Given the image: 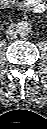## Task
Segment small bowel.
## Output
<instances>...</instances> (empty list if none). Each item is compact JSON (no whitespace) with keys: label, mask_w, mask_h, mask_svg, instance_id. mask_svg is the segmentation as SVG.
Here are the masks:
<instances>
[{"label":"small bowel","mask_w":47,"mask_h":129,"mask_svg":"<svg viewBox=\"0 0 47 129\" xmlns=\"http://www.w3.org/2000/svg\"><path fill=\"white\" fill-rule=\"evenodd\" d=\"M15 0H2L4 6L13 4ZM22 7L30 8L34 13H41L46 10V2L44 0H22Z\"/></svg>","instance_id":"small-bowel-1"}]
</instances>
